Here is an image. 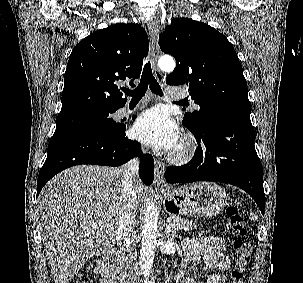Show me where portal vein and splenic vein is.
<instances>
[{"mask_svg":"<svg viewBox=\"0 0 303 283\" xmlns=\"http://www.w3.org/2000/svg\"><path fill=\"white\" fill-rule=\"evenodd\" d=\"M169 226H170V227H174V224H173V223H170Z\"/></svg>","mask_w":303,"mask_h":283,"instance_id":"18ae733b","label":"portal vein and splenic vein"}]
</instances>
